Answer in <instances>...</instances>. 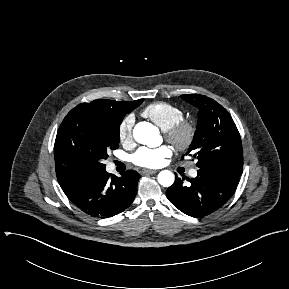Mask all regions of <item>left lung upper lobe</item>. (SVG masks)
<instances>
[{
	"label": "left lung upper lobe",
	"mask_w": 289,
	"mask_h": 289,
	"mask_svg": "<svg viewBox=\"0 0 289 289\" xmlns=\"http://www.w3.org/2000/svg\"><path fill=\"white\" fill-rule=\"evenodd\" d=\"M199 109L198 124L187 154L198 168H219L241 175L243 149L240 134L228 111L204 95H181Z\"/></svg>",
	"instance_id": "left-lung-upper-lobe-1"
}]
</instances>
